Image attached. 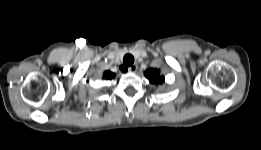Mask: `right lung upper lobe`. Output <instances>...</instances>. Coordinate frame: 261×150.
<instances>
[{
    "label": "right lung upper lobe",
    "instance_id": "obj_1",
    "mask_svg": "<svg viewBox=\"0 0 261 150\" xmlns=\"http://www.w3.org/2000/svg\"><path fill=\"white\" fill-rule=\"evenodd\" d=\"M115 77V74L114 73H112V72H110V71H106L105 73H104V78L105 79H112V78H114Z\"/></svg>",
    "mask_w": 261,
    "mask_h": 150
}]
</instances>
